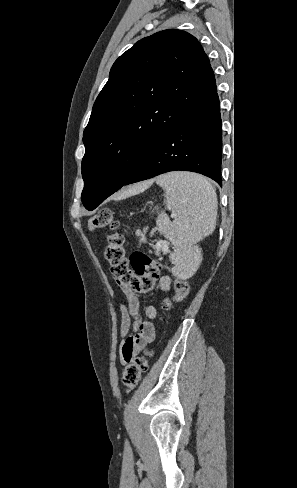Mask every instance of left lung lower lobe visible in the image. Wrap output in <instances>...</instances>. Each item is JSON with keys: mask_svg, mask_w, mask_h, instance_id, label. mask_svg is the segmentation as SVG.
Segmentation results:
<instances>
[{"mask_svg": "<svg viewBox=\"0 0 297 488\" xmlns=\"http://www.w3.org/2000/svg\"><path fill=\"white\" fill-rule=\"evenodd\" d=\"M221 153L222 123L216 91L160 141L125 185L175 170L197 172L221 185Z\"/></svg>", "mask_w": 297, "mask_h": 488, "instance_id": "left-lung-lower-lobe-1", "label": "left lung lower lobe"}]
</instances>
